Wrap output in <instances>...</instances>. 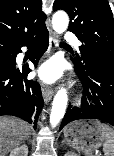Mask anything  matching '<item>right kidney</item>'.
<instances>
[{
    "label": "right kidney",
    "instance_id": "ca27d5eb",
    "mask_svg": "<svg viewBox=\"0 0 114 156\" xmlns=\"http://www.w3.org/2000/svg\"><path fill=\"white\" fill-rule=\"evenodd\" d=\"M9 156H28V147L26 145L17 147L10 152Z\"/></svg>",
    "mask_w": 114,
    "mask_h": 156
}]
</instances>
